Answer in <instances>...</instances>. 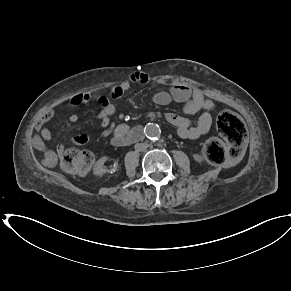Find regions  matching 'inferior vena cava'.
<instances>
[{"instance_id": "obj_1", "label": "inferior vena cava", "mask_w": 291, "mask_h": 291, "mask_svg": "<svg viewBox=\"0 0 291 291\" xmlns=\"http://www.w3.org/2000/svg\"><path fill=\"white\" fill-rule=\"evenodd\" d=\"M148 148V144L147 143H138L135 145V149L137 151H144Z\"/></svg>"}]
</instances>
